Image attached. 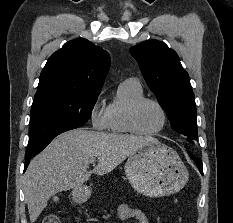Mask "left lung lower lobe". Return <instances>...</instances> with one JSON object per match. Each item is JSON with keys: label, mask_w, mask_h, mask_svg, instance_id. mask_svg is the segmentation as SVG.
<instances>
[{"label": "left lung lower lobe", "mask_w": 233, "mask_h": 223, "mask_svg": "<svg viewBox=\"0 0 233 223\" xmlns=\"http://www.w3.org/2000/svg\"><path fill=\"white\" fill-rule=\"evenodd\" d=\"M189 156L194 160V162L196 163L200 173L203 175L202 161L199 158L195 157L194 155H192L190 153H189Z\"/></svg>", "instance_id": "obj_1"}]
</instances>
